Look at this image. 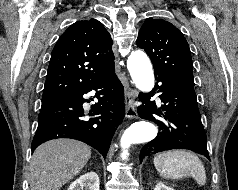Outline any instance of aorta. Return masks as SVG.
I'll use <instances>...</instances> for the list:
<instances>
[{
	"label": "aorta",
	"mask_w": 238,
	"mask_h": 190,
	"mask_svg": "<svg viewBox=\"0 0 238 190\" xmlns=\"http://www.w3.org/2000/svg\"><path fill=\"white\" fill-rule=\"evenodd\" d=\"M127 68L135 86L142 92H150L154 86L152 65L147 55L142 51H134L128 57ZM157 135V128L149 121H138L130 125L123 133L120 145L123 149L122 158L128 155V149L133 144H143L152 141Z\"/></svg>",
	"instance_id": "obj_1"
}]
</instances>
